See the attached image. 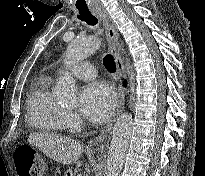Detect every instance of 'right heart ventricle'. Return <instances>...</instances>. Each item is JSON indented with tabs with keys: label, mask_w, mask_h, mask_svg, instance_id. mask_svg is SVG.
Masks as SVG:
<instances>
[{
	"label": "right heart ventricle",
	"mask_w": 205,
	"mask_h": 176,
	"mask_svg": "<svg viewBox=\"0 0 205 176\" xmlns=\"http://www.w3.org/2000/svg\"><path fill=\"white\" fill-rule=\"evenodd\" d=\"M51 82V77L46 75L34 80L27 96V121L33 129L60 135L66 125L64 109L51 93Z\"/></svg>",
	"instance_id": "1"
}]
</instances>
